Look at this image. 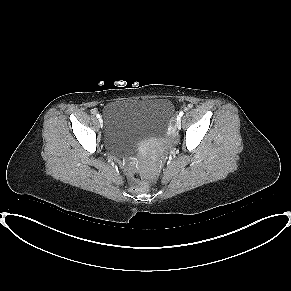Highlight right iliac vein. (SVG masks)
I'll return each instance as SVG.
<instances>
[{"mask_svg":"<svg viewBox=\"0 0 291 291\" xmlns=\"http://www.w3.org/2000/svg\"><path fill=\"white\" fill-rule=\"evenodd\" d=\"M99 122H100V124H102V119L101 118L99 119Z\"/></svg>","mask_w":291,"mask_h":291,"instance_id":"1","label":"right iliac vein"}]
</instances>
